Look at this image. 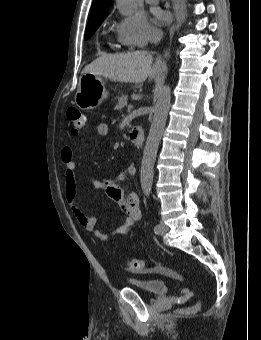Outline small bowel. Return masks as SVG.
<instances>
[{
	"mask_svg": "<svg viewBox=\"0 0 261 340\" xmlns=\"http://www.w3.org/2000/svg\"><path fill=\"white\" fill-rule=\"evenodd\" d=\"M97 133L100 136H107L109 127L106 123H100L97 126ZM61 159L65 166V192L66 199L69 203L72 213L79 222V224L89 232H93L94 236L101 240L107 241L110 235L100 228L96 227V219L87 214L77 199V184L75 179L76 164L73 158V151L70 147H63L61 150ZM136 174V167L134 165L128 166L116 178L102 181L95 177H91L90 181L94 188L104 190L110 200L116 203L119 208L126 214L122 223L114 230L115 234H125L130 227L140 220V200L136 193H125L120 183L127 177Z\"/></svg>",
	"mask_w": 261,
	"mask_h": 340,
	"instance_id": "c3829d8e",
	"label": "small bowel"
}]
</instances>
